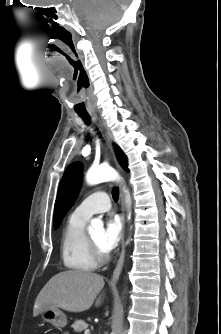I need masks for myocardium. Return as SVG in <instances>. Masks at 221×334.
Wrapping results in <instances>:
<instances>
[{"mask_svg":"<svg viewBox=\"0 0 221 334\" xmlns=\"http://www.w3.org/2000/svg\"><path fill=\"white\" fill-rule=\"evenodd\" d=\"M87 241H88V245L91 251L92 256L94 257V259L96 260L97 263H105L108 258L109 255L107 254L106 251H104L103 249H101L91 238V236L87 235Z\"/></svg>","mask_w":221,"mask_h":334,"instance_id":"myocardium-1","label":"myocardium"}]
</instances>
